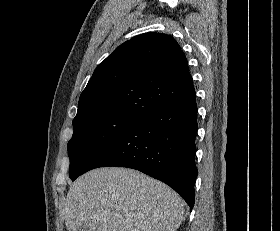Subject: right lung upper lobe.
I'll use <instances>...</instances> for the list:
<instances>
[{
    "label": "right lung upper lobe",
    "instance_id": "obj_1",
    "mask_svg": "<svg viewBox=\"0 0 280 231\" xmlns=\"http://www.w3.org/2000/svg\"><path fill=\"white\" fill-rule=\"evenodd\" d=\"M196 97L187 59L175 39L149 32L120 45L95 69L74 120L142 119L169 104Z\"/></svg>",
    "mask_w": 280,
    "mask_h": 231
}]
</instances>
